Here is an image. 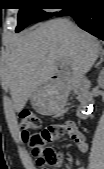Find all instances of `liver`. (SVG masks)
Segmentation results:
<instances>
[{
  "mask_svg": "<svg viewBox=\"0 0 104 169\" xmlns=\"http://www.w3.org/2000/svg\"><path fill=\"white\" fill-rule=\"evenodd\" d=\"M101 43L67 19L56 18L15 38L4 81L13 108L21 112L39 87L57 73V62L65 59L74 76L82 77L101 53Z\"/></svg>",
  "mask_w": 104,
  "mask_h": 169,
  "instance_id": "obj_1",
  "label": "liver"
}]
</instances>
